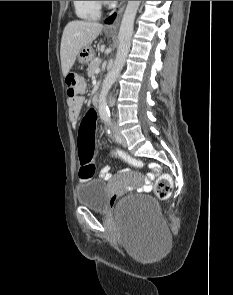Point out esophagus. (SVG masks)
<instances>
[{
  "label": "esophagus",
  "mask_w": 233,
  "mask_h": 295,
  "mask_svg": "<svg viewBox=\"0 0 233 295\" xmlns=\"http://www.w3.org/2000/svg\"><path fill=\"white\" fill-rule=\"evenodd\" d=\"M123 8H124V5H122V7L117 12V15H116V18H115L114 22L111 23V24L106 25L105 31H107V32H116L117 31V28H118V25H119V22H120V16H121Z\"/></svg>",
  "instance_id": "esophagus-1"
}]
</instances>
